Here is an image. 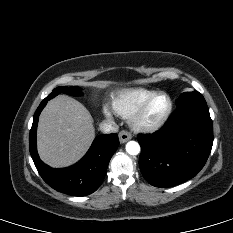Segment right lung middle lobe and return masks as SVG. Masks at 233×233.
Instances as JSON below:
<instances>
[{"instance_id": "obj_1", "label": "right lung middle lobe", "mask_w": 233, "mask_h": 233, "mask_svg": "<svg viewBox=\"0 0 233 233\" xmlns=\"http://www.w3.org/2000/svg\"><path fill=\"white\" fill-rule=\"evenodd\" d=\"M59 93H67V94H71V95H81V91L78 89V87H57L55 88L51 94H49L45 99L46 100H50L52 98H54L56 95H58Z\"/></svg>"}]
</instances>
